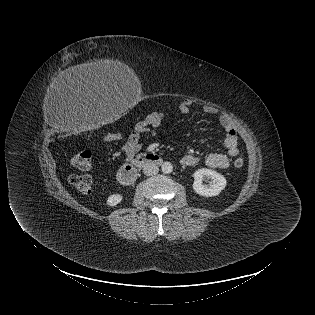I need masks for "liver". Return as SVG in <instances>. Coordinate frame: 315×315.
<instances>
[{
  "label": "liver",
  "instance_id": "1",
  "mask_svg": "<svg viewBox=\"0 0 315 315\" xmlns=\"http://www.w3.org/2000/svg\"><path fill=\"white\" fill-rule=\"evenodd\" d=\"M60 79L69 84H88L105 82H135L134 71L118 60H96L69 67L60 75Z\"/></svg>",
  "mask_w": 315,
  "mask_h": 315
}]
</instances>
